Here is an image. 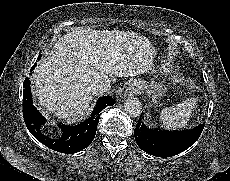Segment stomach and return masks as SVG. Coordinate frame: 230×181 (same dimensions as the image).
Returning a JSON list of instances; mask_svg holds the SVG:
<instances>
[{
  "label": "stomach",
  "instance_id": "0dacf381",
  "mask_svg": "<svg viewBox=\"0 0 230 181\" xmlns=\"http://www.w3.org/2000/svg\"><path fill=\"white\" fill-rule=\"evenodd\" d=\"M146 86L145 87H148L149 86V93H152V98H153V101L156 102V99L160 96H162V94H164L166 88L164 87L163 83L162 82H157L155 80H152L150 82V84H145Z\"/></svg>",
  "mask_w": 230,
  "mask_h": 181
}]
</instances>
